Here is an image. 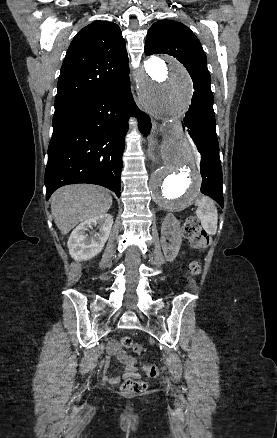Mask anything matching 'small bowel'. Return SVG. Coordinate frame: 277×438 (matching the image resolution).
Segmentation results:
<instances>
[{
	"label": "small bowel",
	"mask_w": 277,
	"mask_h": 438,
	"mask_svg": "<svg viewBox=\"0 0 277 438\" xmlns=\"http://www.w3.org/2000/svg\"><path fill=\"white\" fill-rule=\"evenodd\" d=\"M110 348L114 349L113 354L114 356L123 364V377L124 378H130V377H137L139 375V370L137 368V360L127 354L125 351L121 349L119 345H117L116 342L110 343ZM103 367L108 368L111 365L110 360L105 359L102 362ZM115 381L118 380V378H114Z\"/></svg>",
	"instance_id": "small-bowel-1"
}]
</instances>
